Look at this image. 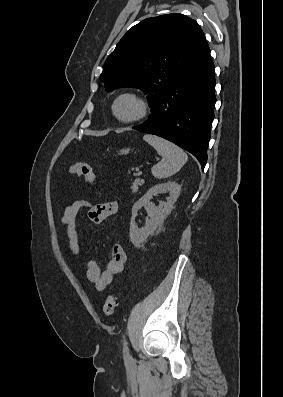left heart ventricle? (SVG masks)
Segmentation results:
<instances>
[{
    "mask_svg": "<svg viewBox=\"0 0 283 397\" xmlns=\"http://www.w3.org/2000/svg\"><path fill=\"white\" fill-rule=\"evenodd\" d=\"M117 114L122 118L135 116L139 111L138 103L132 98L121 99L116 106Z\"/></svg>",
    "mask_w": 283,
    "mask_h": 397,
    "instance_id": "b2bd125f",
    "label": "left heart ventricle"
}]
</instances>
